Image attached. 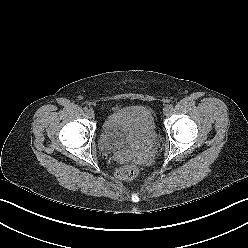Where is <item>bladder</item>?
Listing matches in <instances>:
<instances>
[{
  "instance_id": "bladder-1",
  "label": "bladder",
  "mask_w": 248,
  "mask_h": 248,
  "mask_svg": "<svg viewBox=\"0 0 248 248\" xmlns=\"http://www.w3.org/2000/svg\"><path fill=\"white\" fill-rule=\"evenodd\" d=\"M116 125L123 129V134H113L102 129L99 144L105 151L118 150L139 137L152 141L156 136L155 116L145 106H126L115 111Z\"/></svg>"
}]
</instances>
